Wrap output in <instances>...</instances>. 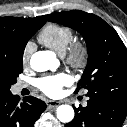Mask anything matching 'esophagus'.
Listing matches in <instances>:
<instances>
[{
    "mask_svg": "<svg viewBox=\"0 0 127 127\" xmlns=\"http://www.w3.org/2000/svg\"><path fill=\"white\" fill-rule=\"evenodd\" d=\"M46 104H47V107L49 109H56L59 106L60 102H58V101H52V100H47Z\"/></svg>",
    "mask_w": 127,
    "mask_h": 127,
    "instance_id": "obj_1",
    "label": "esophagus"
}]
</instances>
